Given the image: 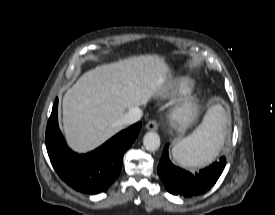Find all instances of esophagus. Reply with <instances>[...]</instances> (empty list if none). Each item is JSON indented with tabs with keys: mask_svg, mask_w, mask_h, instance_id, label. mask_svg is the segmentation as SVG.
Returning a JSON list of instances; mask_svg holds the SVG:
<instances>
[{
	"mask_svg": "<svg viewBox=\"0 0 275 215\" xmlns=\"http://www.w3.org/2000/svg\"><path fill=\"white\" fill-rule=\"evenodd\" d=\"M158 128V123L155 120H150L147 124H146V129L150 130V131H156Z\"/></svg>",
	"mask_w": 275,
	"mask_h": 215,
	"instance_id": "obj_1",
	"label": "esophagus"
}]
</instances>
